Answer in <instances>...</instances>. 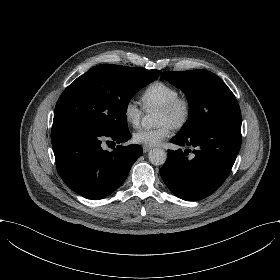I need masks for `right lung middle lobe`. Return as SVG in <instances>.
Listing matches in <instances>:
<instances>
[{
	"label": "right lung middle lobe",
	"instance_id": "dd1d6c3e",
	"mask_svg": "<svg viewBox=\"0 0 280 280\" xmlns=\"http://www.w3.org/2000/svg\"><path fill=\"white\" fill-rule=\"evenodd\" d=\"M160 74L155 69L97 65L61 94L53 127L75 125L101 134L120 132L127 128L126 111L133 95Z\"/></svg>",
	"mask_w": 280,
	"mask_h": 280
}]
</instances>
